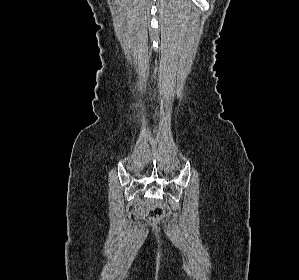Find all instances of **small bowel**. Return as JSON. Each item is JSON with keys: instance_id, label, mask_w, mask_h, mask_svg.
<instances>
[{"instance_id": "small-bowel-1", "label": "small bowel", "mask_w": 299, "mask_h": 280, "mask_svg": "<svg viewBox=\"0 0 299 280\" xmlns=\"http://www.w3.org/2000/svg\"><path fill=\"white\" fill-rule=\"evenodd\" d=\"M148 210H149V206H148V205H142V206H140V207L138 208L137 213H138L139 215H143V214L147 213Z\"/></svg>"}]
</instances>
